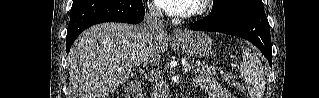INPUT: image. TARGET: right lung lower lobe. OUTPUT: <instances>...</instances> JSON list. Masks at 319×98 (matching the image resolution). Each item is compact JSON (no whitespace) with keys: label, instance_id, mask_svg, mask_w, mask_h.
Segmentation results:
<instances>
[{"label":"right lung lower lobe","instance_id":"98d812e1","mask_svg":"<svg viewBox=\"0 0 319 98\" xmlns=\"http://www.w3.org/2000/svg\"><path fill=\"white\" fill-rule=\"evenodd\" d=\"M144 13L141 0H74L66 37L67 52L86 28L103 22L140 23Z\"/></svg>","mask_w":319,"mask_h":98}]
</instances>
